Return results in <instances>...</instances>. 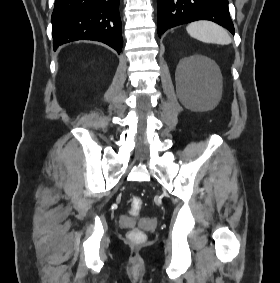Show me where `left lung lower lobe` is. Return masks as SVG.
Masks as SVG:
<instances>
[{"label": "left lung lower lobe", "instance_id": "obj_1", "mask_svg": "<svg viewBox=\"0 0 280 283\" xmlns=\"http://www.w3.org/2000/svg\"><path fill=\"white\" fill-rule=\"evenodd\" d=\"M196 20H210L234 34L228 0H158V35L167 29Z\"/></svg>", "mask_w": 280, "mask_h": 283}]
</instances>
